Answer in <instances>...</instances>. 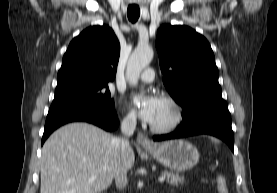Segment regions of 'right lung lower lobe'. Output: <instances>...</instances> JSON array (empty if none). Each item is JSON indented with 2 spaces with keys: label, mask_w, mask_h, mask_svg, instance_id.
Wrapping results in <instances>:
<instances>
[{
  "label": "right lung lower lobe",
  "mask_w": 277,
  "mask_h": 193,
  "mask_svg": "<svg viewBox=\"0 0 277 193\" xmlns=\"http://www.w3.org/2000/svg\"><path fill=\"white\" fill-rule=\"evenodd\" d=\"M74 121L89 122L106 131H113L118 127V118L114 110L75 100H53L47 115L41 144L55 129Z\"/></svg>",
  "instance_id": "obj_1"
}]
</instances>
